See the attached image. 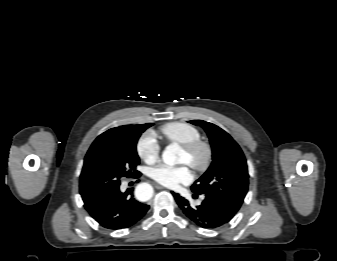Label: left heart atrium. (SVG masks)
Here are the masks:
<instances>
[{
  "label": "left heart atrium",
  "mask_w": 337,
  "mask_h": 261,
  "mask_svg": "<svg viewBox=\"0 0 337 261\" xmlns=\"http://www.w3.org/2000/svg\"><path fill=\"white\" fill-rule=\"evenodd\" d=\"M149 175L153 180L167 187L186 184L192 179L191 172L186 165H157L149 170Z\"/></svg>",
  "instance_id": "1"
}]
</instances>
